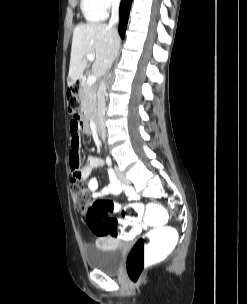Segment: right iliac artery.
I'll use <instances>...</instances> for the list:
<instances>
[{
  "label": "right iliac artery",
  "instance_id": "right-iliac-artery-1",
  "mask_svg": "<svg viewBox=\"0 0 247 304\" xmlns=\"http://www.w3.org/2000/svg\"><path fill=\"white\" fill-rule=\"evenodd\" d=\"M106 163H107L108 166L112 165V161H111V159L109 157L106 158Z\"/></svg>",
  "mask_w": 247,
  "mask_h": 304
}]
</instances>
